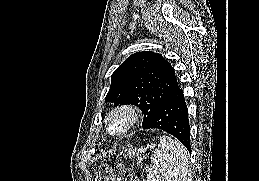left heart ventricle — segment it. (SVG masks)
I'll use <instances>...</instances> for the list:
<instances>
[{
    "mask_svg": "<svg viewBox=\"0 0 259 181\" xmlns=\"http://www.w3.org/2000/svg\"><path fill=\"white\" fill-rule=\"evenodd\" d=\"M120 124H121V120L119 119L114 120V127H119Z\"/></svg>",
    "mask_w": 259,
    "mask_h": 181,
    "instance_id": "left-heart-ventricle-1",
    "label": "left heart ventricle"
}]
</instances>
